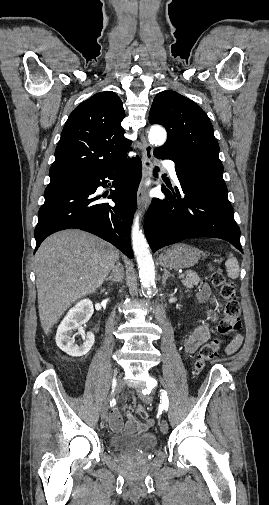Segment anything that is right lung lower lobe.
Segmentation results:
<instances>
[{
    "instance_id": "obj_1",
    "label": "right lung lower lobe",
    "mask_w": 269,
    "mask_h": 505,
    "mask_svg": "<svg viewBox=\"0 0 269 505\" xmlns=\"http://www.w3.org/2000/svg\"><path fill=\"white\" fill-rule=\"evenodd\" d=\"M141 172L140 158L126 157L79 180L47 187L34 231L35 251L47 236L77 228L99 236L133 258L128 233ZM108 180H113L115 188L108 198L115 205L102 202V196L95 193L99 186L106 187Z\"/></svg>"
}]
</instances>
